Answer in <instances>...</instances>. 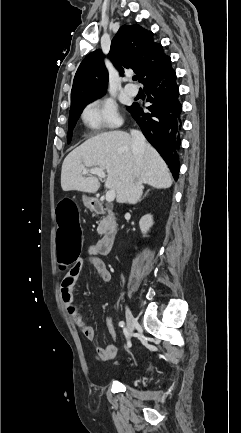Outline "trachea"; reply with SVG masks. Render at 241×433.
I'll list each match as a JSON object with an SVG mask.
<instances>
[{
	"label": "trachea",
	"instance_id": "1",
	"mask_svg": "<svg viewBox=\"0 0 241 433\" xmlns=\"http://www.w3.org/2000/svg\"><path fill=\"white\" fill-rule=\"evenodd\" d=\"M138 79V76L137 75H135V76H133V80H137Z\"/></svg>",
	"mask_w": 241,
	"mask_h": 433
}]
</instances>
